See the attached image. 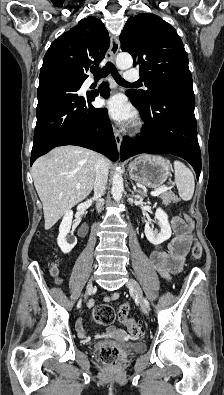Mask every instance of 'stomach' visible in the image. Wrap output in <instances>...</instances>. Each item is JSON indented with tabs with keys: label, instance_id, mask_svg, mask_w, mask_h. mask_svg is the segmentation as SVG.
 Masks as SVG:
<instances>
[{
	"label": "stomach",
	"instance_id": "obj_1",
	"mask_svg": "<svg viewBox=\"0 0 224 395\" xmlns=\"http://www.w3.org/2000/svg\"><path fill=\"white\" fill-rule=\"evenodd\" d=\"M130 177L147 187L158 188L171 173L170 162L155 155H140L129 163Z\"/></svg>",
	"mask_w": 224,
	"mask_h": 395
}]
</instances>
